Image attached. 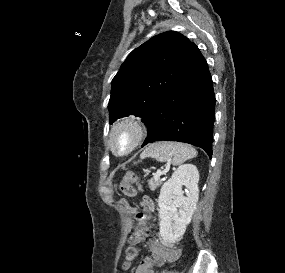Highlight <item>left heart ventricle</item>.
Instances as JSON below:
<instances>
[{
  "instance_id": "1",
  "label": "left heart ventricle",
  "mask_w": 285,
  "mask_h": 273,
  "mask_svg": "<svg viewBox=\"0 0 285 273\" xmlns=\"http://www.w3.org/2000/svg\"><path fill=\"white\" fill-rule=\"evenodd\" d=\"M131 134L128 129L121 130L115 138V146L119 151L124 150L130 141Z\"/></svg>"
}]
</instances>
